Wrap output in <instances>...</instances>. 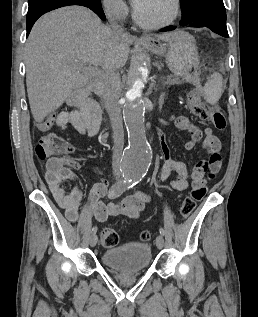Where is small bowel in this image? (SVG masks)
<instances>
[{
    "instance_id": "c3829d8e",
    "label": "small bowel",
    "mask_w": 258,
    "mask_h": 317,
    "mask_svg": "<svg viewBox=\"0 0 258 317\" xmlns=\"http://www.w3.org/2000/svg\"><path fill=\"white\" fill-rule=\"evenodd\" d=\"M170 123L175 124L181 130L190 133V139L185 143L187 150L193 149L198 142L203 140V148L209 158L199 161L191 172L188 171L183 162L172 159L169 149L161 135V146L164 154V163L161 170L162 181H167L171 173L175 171L177 177L170 182L173 190H186L190 181L192 185H202L207 170L217 172L222 165L221 143L212 129L206 128L202 131L189 118L185 116H173ZM54 124L66 129L69 126L76 131L89 137L95 136L101 124V111L99 106L92 99H84L79 106L71 111L61 112L57 115H49L44 121L38 124L40 131L50 129ZM69 164L63 158L52 157L47 161L46 181L57 204L64 210L65 215L71 222H77L80 215V207L83 201V194L77 186H73L68 192L63 186V181H74L75 175L68 167ZM97 177L103 176L100 168H92ZM108 185L106 182H99L93 185L88 201L85 205V214L98 222H105L109 217L126 216L135 219L145 209L149 197L142 192H136L120 201L105 203ZM109 192V191H108Z\"/></svg>"
}]
</instances>
